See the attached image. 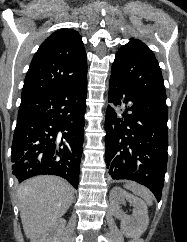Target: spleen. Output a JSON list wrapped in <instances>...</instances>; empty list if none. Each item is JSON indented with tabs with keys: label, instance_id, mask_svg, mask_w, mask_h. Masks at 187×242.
<instances>
[{
	"label": "spleen",
	"instance_id": "obj_1",
	"mask_svg": "<svg viewBox=\"0 0 187 242\" xmlns=\"http://www.w3.org/2000/svg\"><path fill=\"white\" fill-rule=\"evenodd\" d=\"M126 189L132 191L135 195L143 198L149 205L153 203V196L148 189L133 182H128L125 186Z\"/></svg>",
	"mask_w": 187,
	"mask_h": 242
}]
</instances>
